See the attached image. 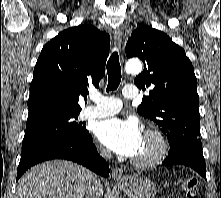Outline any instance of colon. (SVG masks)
I'll use <instances>...</instances> for the list:
<instances>
[{
	"label": "colon",
	"mask_w": 221,
	"mask_h": 198,
	"mask_svg": "<svg viewBox=\"0 0 221 198\" xmlns=\"http://www.w3.org/2000/svg\"><path fill=\"white\" fill-rule=\"evenodd\" d=\"M182 189L186 195V198H198L196 178L190 177V178L185 179L182 183Z\"/></svg>",
	"instance_id": "1"
}]
</instances>
